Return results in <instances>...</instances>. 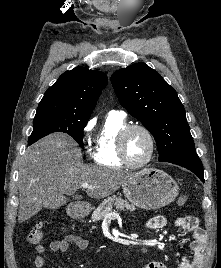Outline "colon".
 Returning a JSON list of instances; mask_svg holds the SVG:
<instances>
[{
	"instance_id": "obj_1",
	"label": "colon",
	"mask_w": 221,
	"mask_h": 268,
	"mask_svg": "<svg viewBox=\"0 0 221 268\" xmlns=\"http://www.w3.org/2000/svg\"><path fill=\"white\" fill-rule=\"evenodd\" d=\"M188 197L187 196H180L177 199V205L183 206L187 203ZM44 236L43 224L37 223L27 234L26 241L30 244H37L39 243Z\"/></svg>"
}]
</instances>
